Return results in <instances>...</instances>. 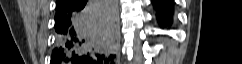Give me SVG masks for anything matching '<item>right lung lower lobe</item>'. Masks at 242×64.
Instances as JSON below:
<instances>
[{"mask_svg": "<svg viewBox=\"0 0 242 64\" xmlns=\"http://www.w3.org/2000/svg\"><path fill=\"white\" fill-rule=\"evenodd\" d=\"M117 0H70L56 9V43L50 64H112Z\"/></svg>", "mask_w": 242, "mask_h": 64, "instance_id": "right-lung-lower-lobe-1", "label": "right lung lower lobe"}]
</instances>
